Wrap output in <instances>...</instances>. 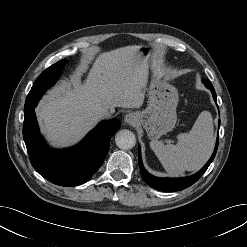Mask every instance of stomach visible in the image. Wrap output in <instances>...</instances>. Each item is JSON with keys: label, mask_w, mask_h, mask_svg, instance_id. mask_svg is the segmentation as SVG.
I'll return each mask as SVG.
<instances>
[{"label": "stomach", "mask_w": 247, "mask_h": 247, "mask_svg": "<svg viewBox=\"0 0 247 247\" xmlns=\"http://www.w3.org/2000/svg\"><path fill=\"white\" fill-rule=\"evenodd\" d=\"M139 51L146 61L152 54L148 46H139ZM148 96L146 109L138 113L139 123L148 137L156 140L174 128L179 95L177 89L163 79L159 72L153 71Z\"/></svg>", "instance_id": "0dacf381"}]
</instances>
